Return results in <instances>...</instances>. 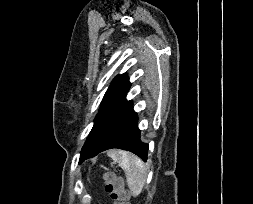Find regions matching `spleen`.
Returning <instances> with one entry per match:
<instances>
[{
	"instance_id": "3e777b00",
	"label": "spleen",
	"mask_w": 253,
	"mask_h": 204,
	"mask_svg": "<svg viewBox=\"0 0 253 204\" xmlns=\"http://www.w3.org/2000/svg\"><path fill=\"white\" fill-rule=\"evenodd\" d=\"M108 155L125 171L126 180L131 194L137 197L142 192L147 178V169L143 161L126 151H111Z\"/></svg>"
}]
</instances>
